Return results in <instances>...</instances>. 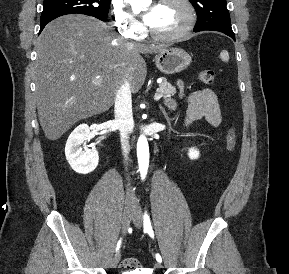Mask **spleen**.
Listing matches in <instances>:
<instances>
[{"label":"spleen","instance_id":"obj_1","mask_svg":"<svg viewBox=\"0 0 289 274\" xmlns=\"http://www.w3.org/2000/svg\"><path fill=\"white\" fill-rule=\"evenodd\" d=\"M221 59L225 62H228L229 61V55H228V52L226 51H223L220 55Z\"/></svg>","mask_w":289,"mask_h":274}]
</instances>
